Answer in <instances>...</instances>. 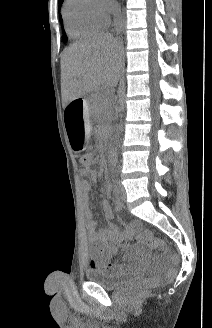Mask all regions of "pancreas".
Here are the masks:
<instances>
[{
    "label": "pancreas",
    "instance_id": "pancreas-1",
    "mask_svg": "<svg viewBox=\"0 0 212 328\" xmlns=\"http://www.w3.org/2000/svg\"><path fill=\"white\" fill-rule=\"evenodd\" d=\"M92 107L98 115L106 117L110 107V99L105 93L97 91L93 95Z\"/></svg>",
    "mask_w": 212,
    "mask_h": 328
}]
</instances>
